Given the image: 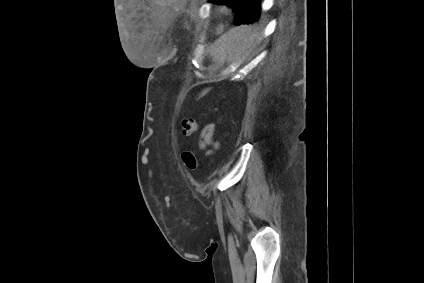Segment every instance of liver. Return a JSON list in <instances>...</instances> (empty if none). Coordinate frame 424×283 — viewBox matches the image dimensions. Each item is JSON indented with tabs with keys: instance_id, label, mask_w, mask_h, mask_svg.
<instances>
[{
	"instance_id": "obj_1",
	"label": "liver",
	"mask_w": 424,
	"mask_h": 283,
	"mask_svg": "<svg viewBox=\"0 0 424 283\" xmlns=\"http://www.w3.org/2000/svg\"><path fill=\"white\" fill-rule=\"evenodd\" d=\"M242 31L243 30H237V31L236 30H230L225 34V36L223 37V40L227 41V40L233 39V37H235V36L241 37Z\"/></svg>"
}]
</instances>
